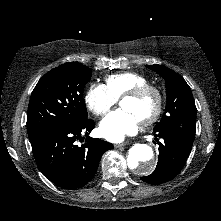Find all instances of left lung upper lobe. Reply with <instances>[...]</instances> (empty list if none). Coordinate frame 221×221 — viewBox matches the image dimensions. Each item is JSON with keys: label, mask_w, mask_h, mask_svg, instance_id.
Segmentation results:
<instances>
[{"label": "left lung upper lobe", "mask_w": 221, "mask_h": 221, "mask_svg": "<svg viewBox=\"0 0 221 221\" xmlns=\"http://www.w3.org/2000/svg\"><path fill=\"white\" fill-rule=\"evenodd\" d=\"M147 67L165 79L167 88L165 113L154 131H171L192 144L196 131L197 109L190 87L180 75L165 66Z\"/></svg>", "instance_id": "5c2ea615"}]
</instances>
